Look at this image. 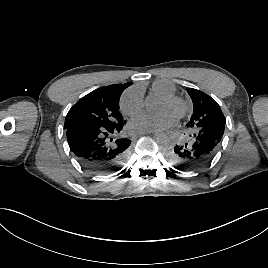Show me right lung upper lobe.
<instances>
[{"mask_svg":"<svg viewBox=\"0 0 268 268\" xmlns=\"http://www.w3.org/2000/svg\"><path fill=\"white\" fill-rule=\"evenodd\" d=\"M132 84V82L129 83H125V84H115V85H109L106 87H103L106 90L112 91V92H117V93H121L130 85Z\"/></svg>","mask_w":268,"mask_h":268,"instance_id":"obj_1","label":"right lung upper lobe"}]
</instances>
